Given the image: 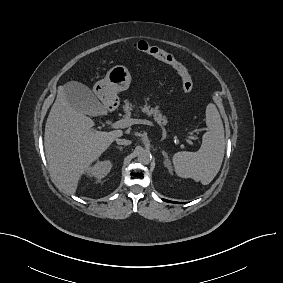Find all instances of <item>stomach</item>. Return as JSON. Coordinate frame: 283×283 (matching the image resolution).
Segmentation results:
<instances>
[{
  "label": "stomach",
  "instance_id": "stomach-1",
  "mask_svg": "<svg viewBox=\"0 0 283 283\" xmlns=\"http://www.w3.org/2000/svg\"><path fill=\"white\" fill-rule=\"evenodd\" d=\"M131 79L125 66L116 65L107 72L104 79L95 83L93 91L104 105L109 106L116 103L118 92L129 88Z\"/></svg>",
  "mask_w": 283,
  "mask_h": 283
}]
</instances>
